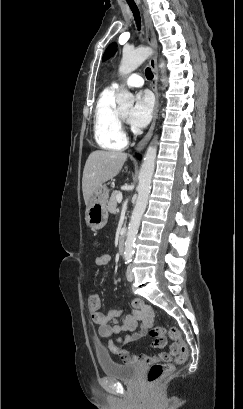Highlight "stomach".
Instances as JSON below:
<instances>
[{"mask_svg": "<svg viewBox=\"0 0 243 409\" xmlns=\"http://www.w3.org/2000/svg\"><path fill=\"white\" fill-rule=\"evenodd\" d=\"M109 189L102 185L92 196L86 207L85 219L88 226L93 230L103 228L108 220L107 200Z\"/></svg>", "mask_w": 243, "mask_h": 409, "instance_id": "1", "label": "stomach"}]
</instances>
